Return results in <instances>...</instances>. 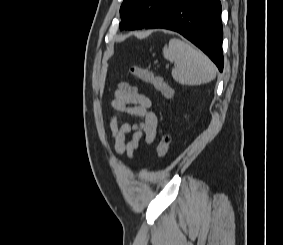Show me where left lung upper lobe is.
Returning <instances> with one entry per match:
<instances>
[{"instance_id": "left-lung-upper-lobe-1", "label": "left lung upper lobe", "mask_w": 283, "mask_h": 245, "mask_svg": "<svg viewBox=\"0 0 283 245\" xmlns=\"http://www.w3.org/2000/svg\"><path fill=\"white\" fill-rule=\"evenodd\" d=\"M173 0H124L121 8V29H140L149 25Z\"/></svg>"}]
</instances>
